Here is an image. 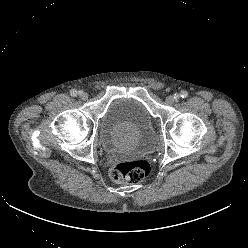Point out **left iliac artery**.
<instances>
[{"label":"left iliac artery","mask_w":248,"mask_h":248,"mask_svg":"<svg viewBox=\"0 0 248 248\" xmlns=\"http://www.w3.org/2000/svg\"><path fill=\"white\" fill-rule=\"evenodd\" d=\"M175 99L176 100H178L179 99V97H182V98H187L188 97V92L187 91H182L181 93H180V95H178V94H175Z\"/></svg>","instance_id":"1"}]
</instances>
